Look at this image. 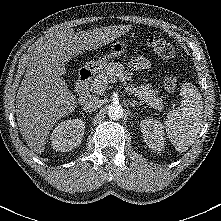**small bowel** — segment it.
Returning a JSON list of instances; mask_svg holds the SVG:
<instances>
[{
	"mask_svg": "<svg viewBox=\"0 0 221 221\" xmlns=\"http://www.w3.org/2000/svg\"><path fill=\"white\" fill-rule=\"evenodd\" d=\"M151 66V62L142 56H136L132 58L129 63V67L132 70H146L150 69Z\"/></svg>",
	"mask_w": 221,
	"mask_h": 221,
	"instance_id": "1",
	"label": "small bowel"
}]
</instances>
